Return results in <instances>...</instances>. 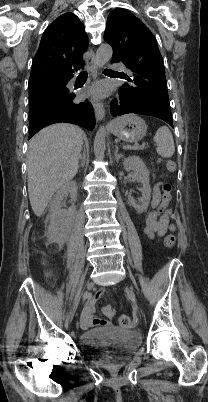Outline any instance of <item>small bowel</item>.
<instances>
[{
  "label": "small bowel",
  "mask_w": 208,
  "mask_h": 402,
  "mask_svg": "<svg viewBox=\"0 0 208 402\" xmlns=\"http://www.w3.org/2000/svg\"><path fill=\"white\" fill-rule=\"evenodd\" d=\"M167 177V174H161L160 175V180L157 182V184L154 187V192H153V207H155L158 202L160 201L161 198V192H160V186L162 184L163 179ZM169 211H166L164 214L159 215L157 211H150L146 217H145V224H144V232L145 234L153 239L156 237H161L163 236L166 232L168 231H173L174 226L170 222L169 218ZM92 298L94 301H101L103 298V292L100 289L95 290V292L92 295ZM94 301H90L85 309H84V319L86 321H81L79 324V327L81 330H88L90 327V324H96V325H106L109 320H111L114 316V311L111 307L107 306L103 310L104 318L103 319H97L93 317V312H94ZM64 329L69 330L72 327L71 322L66 321L63 324Z\"/></svg>",
  "instance_id": "obj_1"
}]
</instances>
